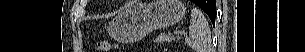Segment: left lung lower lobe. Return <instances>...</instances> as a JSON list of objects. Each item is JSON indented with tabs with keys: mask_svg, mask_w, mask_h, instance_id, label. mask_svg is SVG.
<instances>
[{
	"mask_svg": "<svg viewBox=\"0 0 305 52\" xmlns=\"http://www.w3.org/2000/svg\"><path fill=\"white\" fill-rule=\"evenodd\" d=\"M196 4V0H191ZM200 7L208 14L212 23L215 24L216 16V0H206Z\"/></svg>",
	"mask_w": 305,
	"mask_h": 52,
	"instance_id": "obj_1",
	"label": "left lung lower lobe"
}]
</instances>
